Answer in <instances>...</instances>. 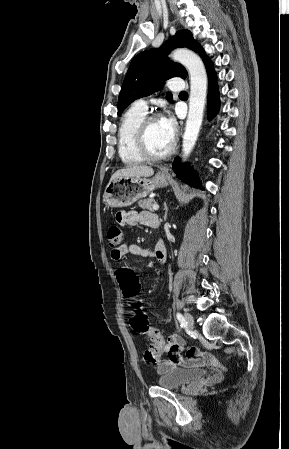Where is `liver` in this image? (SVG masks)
I'll return each instance as SVG.
<instances>
[{
  "label": "liver",
  "instance_id": "obj_1",
  "mask_svg": "<svg viewBox=\"0 0 289 449\" xmlns=\"http://www.w3.org/2000/svg\"><path fill=\"white\" fill-rule=\"evenodd\" d=\"M154 174V170L146 165H134L130 167H126L124 169H120L116 171L111 180L120 178V177H150Z\"/></svg>",
  "mask_w": 289,
  "mask_h": 449
}]
</instances>
